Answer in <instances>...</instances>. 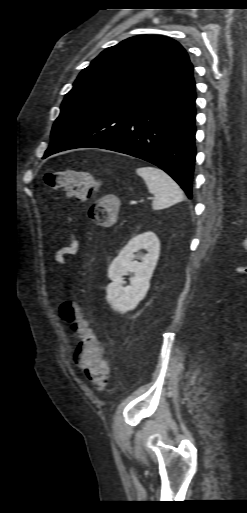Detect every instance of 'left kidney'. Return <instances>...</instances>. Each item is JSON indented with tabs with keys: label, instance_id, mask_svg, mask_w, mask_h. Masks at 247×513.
I'll return each instance as SVG.
<instances>
[{
	"label": "left kidney",
	"instance_id": "1",
	"mask_svg": "<svg viewBox=\"0 0 247 513\" xmlns=\"http://www.w3.org/2000/svg\"><path fill=\"white\" fill-rule=\"evenodd\" d=\"M146 250L142 262L135 261V252ZM160 254V241L153 232H145L132 238L112 261L108 277L111 283L107 288V301L114 311L126 313L134 309L144 299L150 279ZM133 273L130 285L124 287V275Z\"/></svg>",
	"mask_w": 247,
	"mask_h": 513
}]
</instances>
